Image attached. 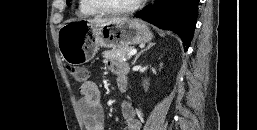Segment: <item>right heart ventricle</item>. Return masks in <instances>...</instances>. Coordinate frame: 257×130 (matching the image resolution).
<instances>
[{
	"label": "right heart ventricle",
	"mask_w": 257,
	"mask_h": 130,
	"mask_svg": "<svg viewBox=\"0 0 257 130\" xmlns=\"http://www.w3.org/2000/svg\"><path fill=\"white\" fill-rule=\"evenodd\" d=\"M77 13L81 16H94L97 14L96 11L89 7L86 0H78Z\"/></svg>",
	"instance_id": "e07e8e85"
}]
</instances>
